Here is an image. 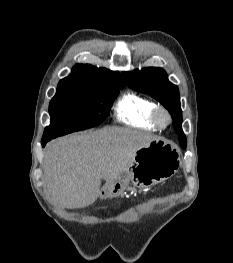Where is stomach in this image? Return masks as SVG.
I'll return each mask as SVG.
<instances>
[{"label": "stomach", "instance_id": "0dacf381", "mask_svg": "<svg viewBox=\"0 0 233 263\" xmlns=\"http://www.w3.org/2000/svg\"><path fill=\"white\" fill-rule=\"evenodd\" d=\"M180 150L172 143L155 139L139 148L118 180L106 184L102 198L122 196L130 185L149 188L171 178L181 165Z\"/></svg>", "mask_w": 233, "mask_h": 263}]
</instances>
